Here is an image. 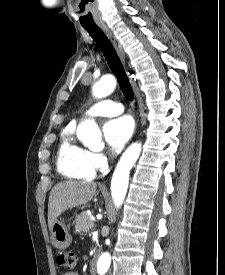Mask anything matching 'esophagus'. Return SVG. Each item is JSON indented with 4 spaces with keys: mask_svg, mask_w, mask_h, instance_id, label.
I'll return each instance as SVG.
<instances>
[{
    "mask_svg": "<svg viewBox=\"0 0 225 275\" xmlns=\"http://www.w3.org/2000/svg\"><path fill=\"white\" fill-rule=\"evenodd\" d=\"M101 29L104 31V33L106 34L108 39L111 41L115 50L117 51L118 55L120 56L122 62L125 64V53H124V50H123L122 45L119 42V40L116 38V36L112 33V31L107 26L102 25Z\"/></svg>",
    "mask_w": 225,
    "mask_h": 275,
    "instance_id": "esophagus-1",
    "label": "esophagus"
}]
</instances>
